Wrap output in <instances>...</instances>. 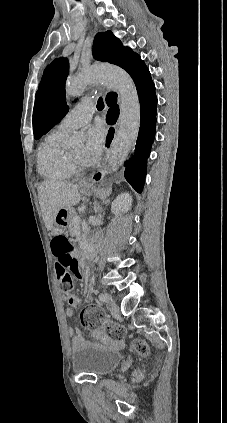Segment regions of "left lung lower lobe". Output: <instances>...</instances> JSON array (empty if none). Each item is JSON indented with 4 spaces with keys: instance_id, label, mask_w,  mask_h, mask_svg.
<instances>
[{
    "instance_id": "0a47b994",
    "label": "left lung lower lobe",
    "mask_w": 227,
    "mask_h": 423,
    "mask_svg": "<svg viewBox=\"0 0 227 423\" xmlns=\"http://www.w3.org/2000/svg\"><path fill=\"white\" fill-rule=\"evenodd\" d=\"M136 88L140 102V129L135 149L124 164V176L131 186L141 193L146 176L147 159L155 136L157 97L150 73L136 84ZM118 115V106L111 107L108 110L107 122L114 124Z\"/></svg>"
}]
</instances>
